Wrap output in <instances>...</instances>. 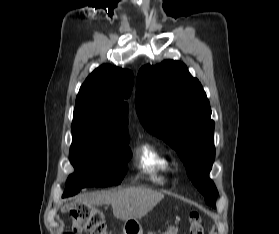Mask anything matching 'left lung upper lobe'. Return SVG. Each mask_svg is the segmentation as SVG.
<instances>
[{"label":"left lung upper lobe","mask_w":279,"mask_h":234,"mask_svg":"<svg viewBox=\"0 0 279 234\" xmlns=\"http://www.w3.org/2000/svg\"><path fill=\"white\" fill-rule=\"evenodd\" d=\"M135 103L141 124L175 149L205 202L215 208L218 191L209 178L215 159L214 121L198 79L178 61L143 66Z\"/></svg>","instance_id":"obj_1"}]
</instances>
